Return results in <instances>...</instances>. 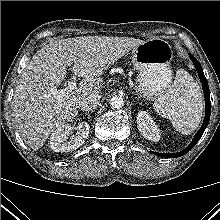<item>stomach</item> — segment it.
Here are the masks:
<instances>
[{"label": "stomach", "instance_id": "stomach-1", "mask_svg": "<svg viewBox=\"0 0 220 220\" xmlns=\"http://www.w3.org/2000/svg\"><path fill=\"white\" fill-rule=\"evenodd\" d=\"M171 45L163 39L144 41L131 51V62L138 71L136 92L149 100H157L169 90L173 73Z\"/></svg>", "mask_w": 220, "mask_h": 220}]
</instances>
